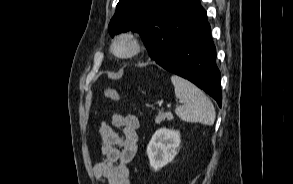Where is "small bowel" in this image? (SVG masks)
<instances>
[{"label": "small bowel", "mask_w": 293, "mask_h": 184, "mask_svg": "<svg viewBox=\"0 0 293 184\" xmlns=\"http://www.w3.org/2000/svg\"><path fill=\"white\" fill-rule=\"evenodd\" d=\"M122 131V134L113 130ZM139 118L135 114L115 113L111 125H100V150L102 160L93 166L94 177L104 184H131L132 178L128 164L137 153V130Z\"/></svg>", "instance_id": "1"}]
</instances>
